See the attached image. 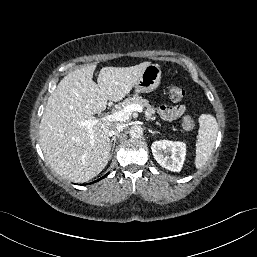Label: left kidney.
<instances>
[{
  "instance_id": "left-kidney-1",
  "label": "left kidney",
  "mask_w": 257,
  "mask_h": 257,
  "mask_svg": "<svg viewBox=\"0 0 257 257\" xmlns=\"http://www.w3.org/2000/svg\"><path fill=\"white\" fill-rule=\"evenodd\" d=\"M155 160L163 168L179 172L186 156V144L180 141L161 140L151 145Z\"/></svg>"
}]
</instances>
